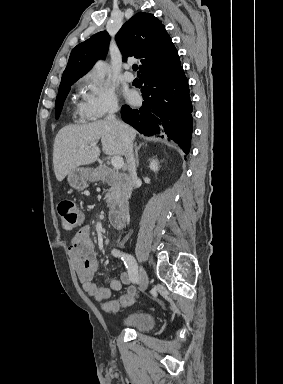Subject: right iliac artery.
Masks as SVG:
<instances>
[{
  "instance_id": "right-iliac-artery-1",
  "label": "right iliac artery",
  "mask_w": 283,
  "mask_h": 384,
  "mask_svg": "<svg viewBox=\"0 0 283 384\" xmlns=\"http://www.w3.org/2000/svg\"><path fill=\"white\" fill-rule=\"evenodd\" d=\"M112 254L115 257L121 258V260L124 262V264L127 268L131 282L134 284L137 283L138 282V268H137V264H136L133 256L126 254V253H123L118 249H113Z\"/></svg>"
}]
</instances>
